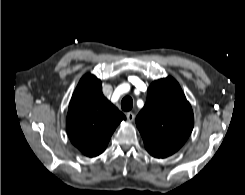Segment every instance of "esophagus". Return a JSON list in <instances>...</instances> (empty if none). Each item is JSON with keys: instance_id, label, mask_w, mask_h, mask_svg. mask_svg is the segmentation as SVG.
<instances>
[{"instance_id": "34e87169", "label": "esophagus", "mask_w": 245, "mask_h": 195, "mask_svg": "<svg viewBox=\"0 0 245 195\" xmlns=\"http://www.w3.org/2000/svg\"><path fill=\"white\" fill-rule=\"evenodd\" d=\"M126 117H127V120H128L129 122H132V121L135 119V114L132 113V112H128V113L126 114Z\"/></svg>"}]
</instances>
